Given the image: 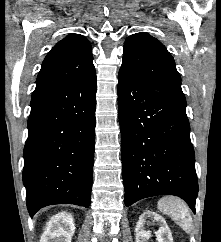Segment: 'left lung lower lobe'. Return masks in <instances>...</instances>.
Listing matches in <instances>:
<instances>
[{
	"mask_svg": "<svg viewBox=\"0 0 221 242\" xmlns=\"http://www.w3.org/2000/svg\"><path fill=\"white\" fill-rule=\"evenodd\" d=\"M118 114L125 205L176 195L195 213L198 181L186 100L156 91L121 68Z\"/></svg>",
	"mask_w": 221,
	"mask_h": 242,
	"instance_id": "obj_1",
	"label": "left lung lower lobe"
}]
</instances>
